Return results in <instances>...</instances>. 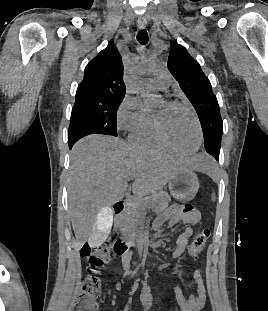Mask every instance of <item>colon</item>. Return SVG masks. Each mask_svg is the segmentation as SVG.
<instances>
[{
  "instance_id": "obj_1",
  "label": "colon",
  "mask_w": 268,
  "mask_h": 311,
  "mask_svg": "<svg viewBox=\"0 0 268 311\" xmlns=\"http://www.w3.org/2000/svg\"><path fill=\"white\" fill-rule=\"evenodd\" d=\"M210 231L204 229L197 233L188 247L191 258L197 259L205 249ZM119 254L117 251H115ZM111 249L107 244L93 249L86 243L81 249V256L86 260V275L78 289L77 302L71 311H97L96 299L100 293V273L102 267L109 261Z\"/></svg>"
}]
</instances>
